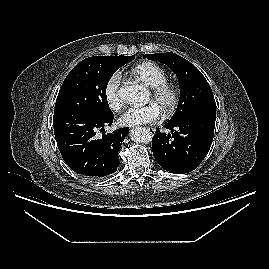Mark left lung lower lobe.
<instances>
[{
    "label": "left lung lower lobe",
    "mask_w": 269,
    "mask_h": 269,
    "mask_svg": "<svg viewBox=\"0 0 269 269\" xmlns=\"http://www.w3.org/2000/svg\"><path fill=\"white\" fill-rule=\"evenodd\" d=\"M216 109L205 108L164 127L171 134L156 131L152 139L153 155L158 164L174 174L196 169L205 158L214 137Z\"/></svg>",
    "instance_id": "0a47b994"
}]
</instances>
